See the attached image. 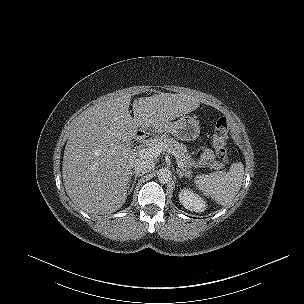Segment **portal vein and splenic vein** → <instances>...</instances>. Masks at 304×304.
Segmentation results:
<instances>
[{
    "mask_svg": "<svg viewBox=\"0 0 304 304\" xmlns=\"http://www.w3.org/2000/svg\"><path fill=\"white\" fill-rule=\"evenodd\" d=\"M164 151L162 144H157L148 148H143L139 150V154L144 158H156ZM180 167L183 166L181 162H178Z\"/></svg>",
    "mask_w": 304,
    "mask_h": 304,
    "instance_id": "1",
    "label": "portal vein and splenic vein"
}]
</instances>
